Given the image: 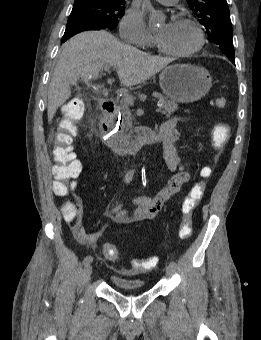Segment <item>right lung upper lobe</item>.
I'll return each instance as SVG.
<instances>
[{"label": "right lung upper lobe", "mask_w": 261, "mask_h": 340, "mask_svg": "<svg viewBox=\"0 0 261 340\" xmlns=\"http://www.w3.org/2000/svg\"><path fill=\"white\" fill-rule=\"evenodd\" d=\"M83 1L125 2V0H75V3Z\"/></svg>", "instance_id": "obj_1"}]
</instances>
